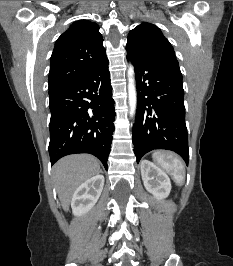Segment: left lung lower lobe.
Segmentation results:
<instances>
[{"label":"left lung lower lobe","mask_w":233,"mask_h":266,"mask_svg":"<svg viewBox=\"0 0 233 266\" xmlns=\"http://www.w3.org/2000/svg\"><path fill=\"white\" fill-rule=\"evenodd\" d=\"M135 67L137 111L133 144L137 163L153 149L178 153L188 165L184 90L178 61L127 50Z\"/></svg>","instance_id":"left-lung-lower-lobe-1"}]
</instances>
